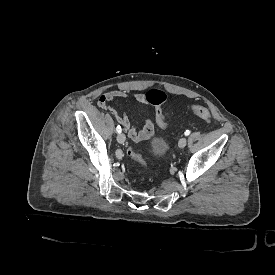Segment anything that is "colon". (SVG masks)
I'll list each match as a JSON object with an SVG mask.
<instances>
[{"instance_id":"5ec220e1","label":"colon","mask_w":275,"mask_h":275,"mask_svg":"<svg viewBox=\"0 0 275 275\" xmlns=\"http://www.w3.org/2000/svg\"><path fill=\"white\" fill-rule=\"evenodd\" d=\"M145 100L147 102H157V103H163L165 101V96L159 92H155L154 90L149 91V93H147L145 95ZM192 112L198 116L199 118L203 119L204 121H206L207 123H211L212 122V116L210 114V112L199 105H195L192 107ZM156 118L158 119L159 122V126L161 127H167L168 126V121L167 119L164 117L162 109L160 107L157 108L156 110ZM128 157L130 159H132L133 161H135L136 163L140 164L141 166L144 165L143 160L139 154V152L134 149V148H129L128 150Z\"/></svg>"}]
</instances>
